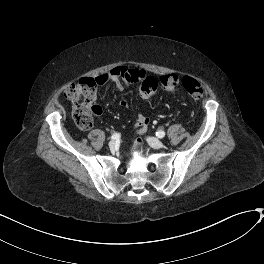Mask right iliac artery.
Here are the masks:
<instances>
[{"mask_svg": "<svg viewBox=\"0 0 264 264\" xmlns=\"http://www.w3.org/2000/svg\"><path fill=\"white\" fill-rule=\"evenodd\" d=\"M118 138H120V134L119 133H115L111 137L112 140H115V139H118Z\"/></svg>", "mask_w": 264, "mask_h": 264, "instance_id": "1", "label": "right iliac artery"}]
</instances>
